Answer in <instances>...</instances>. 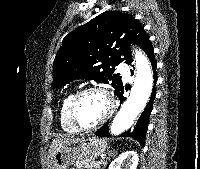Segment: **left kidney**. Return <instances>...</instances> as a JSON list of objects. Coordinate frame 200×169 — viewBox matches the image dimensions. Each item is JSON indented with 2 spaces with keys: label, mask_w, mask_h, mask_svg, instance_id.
I'll use <instances>...</instances> for the list:
<instances>
[{
  "label": "left kidney",
  "mask_w": 200,
  "mask_h": 169,
  "mask_svg": "<svg viewBox=\"0 0 200 169\" xmlns=\"http://www.w3.org/2000/svg\"><path fill=\"white\" fill-rule=\"evenodd\" d=\"M138 161V154L133 150H129L114 159L108 169H122V167L123 169H136Z\"/></svg>",
  "instance_id": "left-kidney-1"
}]
</instances>
